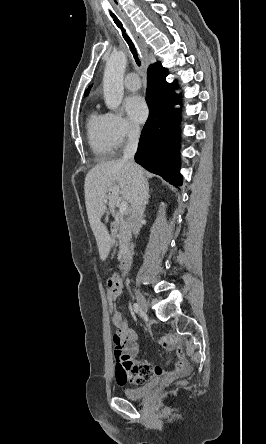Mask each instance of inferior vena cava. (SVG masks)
Segmentation results:
<instances>
[{
  "label": "inferior vena cava",
  "instance_id": "inferior-vena-cava-1",
  "mask_svg": "<svg viewBox=\"0 0 266 444\" xmlns=\"http://www.w3.org/2000/svg\"><path fill=\"white\" fill-rule=\"evenodd\" d=\"M127 144L124 149L123 160L134 164V155L137 151L140 129L131 126L127 131ZM148 182L141 172L135 170L134 188L130 207L129 222L133 234L137 237L141 228V221L148 203Z\"/></svg>",
  "mask_w": 266,
  "mask_h": 444
}]
</instances>
